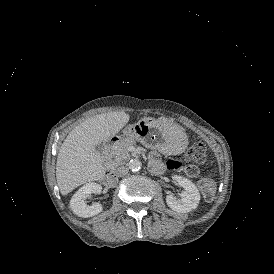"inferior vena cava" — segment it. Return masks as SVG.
I'll return each instance as SVG.
<instances>
[{"label": "inferior vena cava", "mask_w": 274, "mask_h": 274, "mask_svg": "<svg viewBox=\"0 0 274 274\" xmlns=\"http://www.w3.org/2000/svg\"><path fill=\"white\" fill-rule=\"evenodd\" d=\"M128 170H129L128 167L120 166L116 169L115 173L118 177H122V176H125L128 173Z\"/></svg>", "instance_id": "602c4592"}]
</instances>
